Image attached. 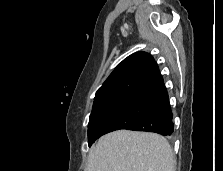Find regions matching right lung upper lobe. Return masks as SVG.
<instances>
[{
    "instance_id": "right-lung-upper-lobe-1",
    "label": "right lung upper lobe",
    "mask_w": 223,
    "mask_h": 171,
    "mask_svg": "<svg viewBox=\"0 0 223 171\" xmlns=\"http://www.w3.org/2000/svg\"><path fill=\"white\" fill-rule=\"evenodd\" d=\"M154 58L137 52L123 60L96 92L94 101L116 95L139 96L162 82Z\"/></svg>"
}]
</instances>
